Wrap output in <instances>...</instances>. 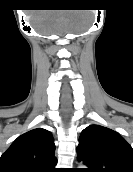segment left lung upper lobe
I'll use <instances>...</instances> for the list:
<instances>
[{
	"mask_svg": "<svg viewBox=\"0 0 133 172\" xmlns=\"http://www.w3.org/2000/svg\"><path fill=\"white\" fill-rule=\"evenodd\" d=\"M77 160L82 172H133V149L117 132L100 126L86 127L79 138Z\"/></svg>",
	"mask_w": 133,
	"mask_h": 172,
	"instance_id": "obj_1",
	"label": "left lung upper lobe"
}]
</instances>
